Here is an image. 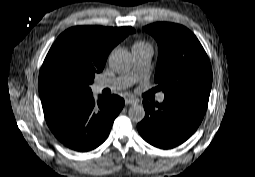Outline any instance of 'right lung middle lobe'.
<instances>
[{
	"instance_id": "1",
	"label": "right lung middle lobe",
	"mask_w": 255,
	"mask_h": 177,
	"mask_svg": "<svg viewBox=\"0 0 255 177\" xmlns=\"http://www.w3.org/2000/svg\"><path fill=\"white\" fill-rule=\"evenodd\" d=\"M103 68L66 45L52 47L39 74L40 98L43 100L91 91L89 85L93 83L95 73Z\"/></svg>"
}]
</instances>
